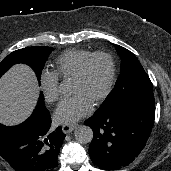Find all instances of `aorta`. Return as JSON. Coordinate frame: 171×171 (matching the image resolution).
Instances as JSON below:
<instances>
[{
	"label": "aorta",
	"mask_w": 171,
	"mask_h": 171,
	"mask_svg": "<svg viewBox=\"0 0 171 171\" xmlns=\"http://www.w3.org/2000/svg\"><path fill=\"white\" fill-rule=\"evenodd\" d=\"M60 91L64 94L68 93L69 89L66 83L60 84ZM74 136L77 142L81 144H87L93 139V130L89 126L82 125L76 128Z\"/></svg>",
	"instance_id": "aorta-1"
}]
</instances>
